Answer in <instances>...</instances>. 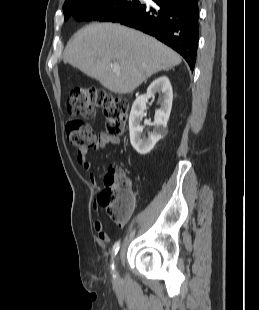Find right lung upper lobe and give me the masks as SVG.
<instances>
[{
    "instance_id": "cb5924a9",
    "label": "right lung upper lobe",
    "mask_w": 259,
    "mask_h": 310,
    "mask_svg": "<svg viewBox=\"0 0 259 310\" xmlns=\"http://www.w3.org/2000/svg\"><path fill=\"white\" fill-rule=\"evenodd\" d=\"M97 1H101V0H66L64 5H68V4H89V3H93V2H97ZM63 5V6H64Z\"/></svg>"
}]
</instances>
